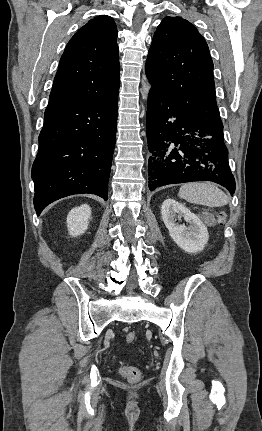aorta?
I'll list each match as a JSON object with an SVG mask.
<instances>
[{
    "instance_id": "762f6f07",
    "label": "aorta",
    "mask_w": 262,
    "mask_h": 431,
    "mask_svg": "<svg viewBox=\"0 0 262 431\" xmlns=\"http://www.w3.org/2000/svg\"><path fill=\"white\" fill-rule=\"evenodd\" d=\"M150 88H151V86L148 82L143 84V86H142V97H143V99H147Z\"/></svg>"
}]
</instances>
